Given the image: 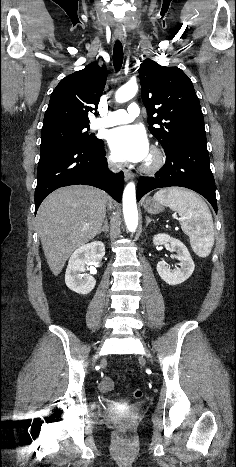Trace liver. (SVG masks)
Returning a JSON list of instances; mask_svg holds the SVG:
<instances>
[{
  "label": "liver",
  "mask_w": 236,
  "mask_h": 467,
  "mask_svg": "<svg viewBox=\"0 0 236 467\" xmlns=\"http://www.w3.org/2000/svg\"><path fill=\"white\" fill-rule=\"evenodd\" d=\"M111 204L105 192L85 185L59 188L42 202L36 217L38 232L55 276L76 249L98 234Z\"/></svg>",
  "instance_id": "obj_1"
}]
</instances>
